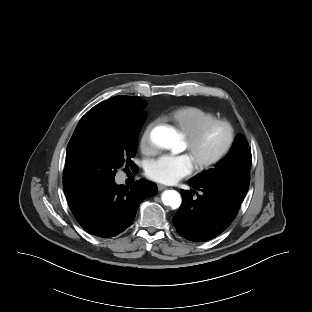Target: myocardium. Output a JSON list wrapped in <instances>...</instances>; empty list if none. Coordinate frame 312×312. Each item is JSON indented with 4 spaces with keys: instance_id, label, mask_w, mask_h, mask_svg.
<instances>
[{
    "instance_id": "1",
    "label": "myocardium",
    "mask_w": 312,
    "mask_h": 312,
    "mask_svg": "<svg viewBox=\"0 0 312 312\" xmlns=\"http://www.w3.org/2000/svg\"><path fill=\"white\" fill-rule=\"evenodd\" d=\"M217 126H223L226 129L227 140L218 153L195 164V168L199 171H203L217 165L228 155V153L233 148L236 139V131L234 125L227 119L216 118L209 121L195 132L184 136L187 151L192 152L195 147L205 138V136Z\"/></svg>"
}]
</instances>
